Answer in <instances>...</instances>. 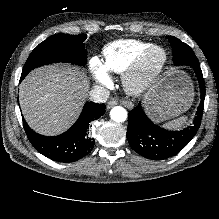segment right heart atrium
<instances>
[{
  "mask_svg": "<svg viewBox=\"0 0 219 219\" xmlns=\"http://www.w3.org/2000/svg\"><path fill=\"white\" fill-rule=\"evenodd\" d=\"M105 67L97 59H93L90 63V71L92 76L100 87H104L108 82V76L105 72Z\"/></svg>",
  "mask_w": 219,
  "mask_h": 219,
  "instance_id": "obj_1",
  "label": "right heart atrium"
}]
</instances>
